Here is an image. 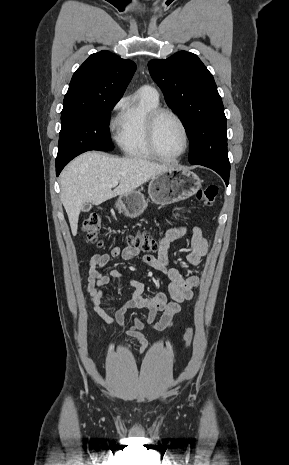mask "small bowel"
I'll return each instance as SVG.
<instances>
[{
    "label": "small bowel",
    "mask_w": 289,
    "mask_h": 465,
    "mask_svg": "<svg viewBox=\"0 0 289 465\" xmlns=\"http://www.w3.org/2000/svg\"><path fill=\"white\" fill-rule=\"evenodd\" d=\"M190 232V252L188 262L197 267L208 254V243L201 229L197 226H177L168 229L160 241L157 256L141 254L140 250L134 247H113L110 252L95 254L89 260V274L87 293L94 306L95 312L106 323H117L126 328V334L138 340L142 350L148 348V340L143 334V330L152 327L157 331H165L172 327L175 316L181 311V304L189 301L193 297L194 288L199 285L200 278L195 274H182L177 268L168 267V247L169 244ZM121 257L124 260L141 259L149 267L163 273L167 280L165 290L157 292L152 296L145 295V286L142 282L127 279L133 288L131 298L123 305L115 309L114 315H109L101 306V299L104 288L112 281L123 278L120 271L111 269L104 273L103 268L114 258ZM168 297L171 299L168 300ZM146 308L149 313L146 319L135 318L130 326L125 324V314L131 308ZM161 312V318L155 322L157 314Z\"/></svg>",
    "instance_id": "small-bowel-1"
}]
</instances>
